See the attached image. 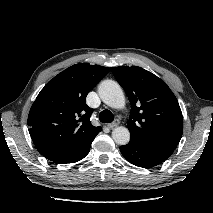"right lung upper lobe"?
<instances>
[{
  "instance_id": "cb5924a9",
  "label": "right lung upper lobe",
  "mask_w": 213,
  "mask_h": 213,
  "mask_svg": "<svg viewBox=\"0 0 213 213\" xmlns=\"http://www.w3.org/2000/svg\"><path fill=\"white\" fill-rule=\"evenodd\" d=\"M109 71L99 65L76 64L40 91L30 109L28 126L42 155L75 150L101 131L90 122L92 109L86 104V96Z\"/></svg>"
}]
</instances>
